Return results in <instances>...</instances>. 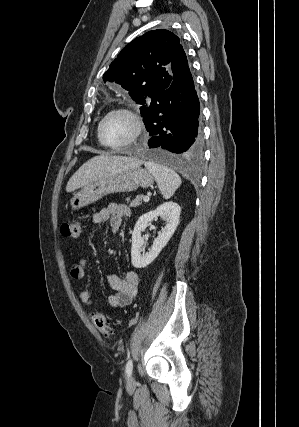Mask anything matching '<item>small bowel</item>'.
<instances>
[{
	"label": "small bowel",
	"mask_w": 299,
	"mask_h": 427,
	"mask_svg": "<svg viewBox=\"0 0 299 427\" xmlns=\"http://www.w3.org/2000/svg\"><path fill=\"white\" fill-rule=\"evenodd\" d=\"M128 216H130V210L126 205L110 203L95 213L92 220L97 225H102L109 221L111 230L116 232L120 228L123 218ZM86 269L87 261L81 258L71 266L70 275L75 280H81L85 277ZM108 282L116 290V294L106 298L107 305L113 308L125 307L136 298L140 277L136 271L131 270L127 272L125 278L110 274ZM80 299L86 306H91L93 303L92 296L87 290H83L80 293Z\"/></svg>",
	"instance_id": "small-bowel-1"
}]
</instances>
